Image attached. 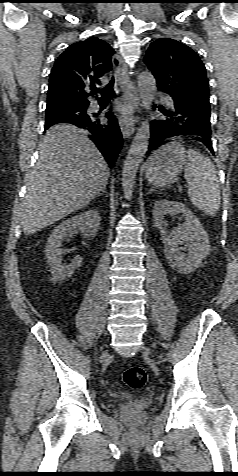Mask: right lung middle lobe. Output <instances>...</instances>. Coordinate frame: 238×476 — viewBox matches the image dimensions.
I'll use <instances>...</instances> for the list:
<instances>
[{"mask_svg":"<svg viewBox=\"0 0 238 476\" xmlns=\"http://www.w3.org/2000/svg\"><path fill=\"white\" fill-rule=\"evenodd\" d=\"M86 110L87 107L76 105H47L46 124L67 123L73 118L86 117Z\"/></svg>","mask_w":238,"mask_h":476,"instance_id":"1","label":"right lung middle lobe"}]
</instances>
